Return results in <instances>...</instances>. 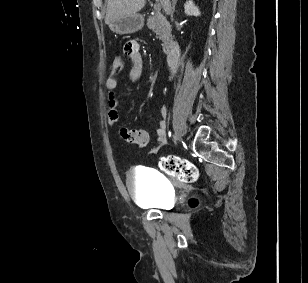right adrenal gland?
Listing matches in <instances>:
<instances>
[{
	"label": "right adrenal gland",
	"mask_w": 308,
	"mask_h": 283,
	"mask_svg": "<svg viewBox=\"0 0 308 283\" xmlns=\"http://www.w3.org/2000/svg\"><path fill=\"white\" fill-rule=\"evenodd\" d=\"M177 0H172V9L175 11V6H176Z\"/></svg>",
	"instance_id": "right-adrenal-gland-1"
}]
</instances>
